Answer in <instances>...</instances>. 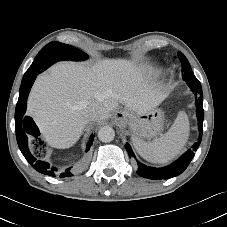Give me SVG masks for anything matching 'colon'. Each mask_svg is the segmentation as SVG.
I'll return each mask as SVG.
<instances>
[{
    "mask_svg": "<svg viewBox=\"0 0 227 227\" xmlns=\"http://www.w3.org/2000/svg\"><path fill=\"white\" fill-rule=\"evenodd\" d=\"M36 145L38 148H42L43 147V142L37 141Z\"/></svg>",
    "mask_w": 227,
    "mask_h": 227,
    "instance_id": "obj_1",
    "label": "colon"
}]
</instances>
